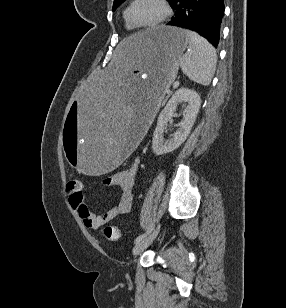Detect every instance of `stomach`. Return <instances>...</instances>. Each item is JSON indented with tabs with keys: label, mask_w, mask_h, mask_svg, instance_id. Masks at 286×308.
<instances>
[{
	"label": "stomach",
	"mask_w": 286,
	"mask_h": 308,
	"mask_svg": "<svg viewBox=\"0 0 286 308\" xmlns=\"http://www.w3.org/2000/svg\"><path fill=\"white\" fill-rule=\"evenodd\" d=\"M188 44L185 30L164 25L145 36H125L64 118L63 153L72 173L107 177L122 168L146 125L154 124L155 107L175 80Z\"/></svg>",
	"instance_id": "obj_1"
}]
</instances>
